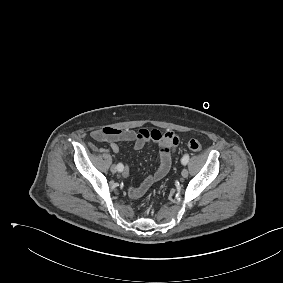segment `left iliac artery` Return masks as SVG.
<instances>
[{
  "label": "left iliac artery",
  "mask_w": 283,
  "mask_h": 283,
  "mask_svg": "<svg viewBox=\"0 0 283 283\" xmlns=\"http://www.w3.org/2000/svg\"><path fill=\"white\" fill-rule=\"evenodd\" d=\"M188 161H189V156L188 155L183 156V158L181 159V163L183 165H186L188 163Z\"/></svg>",
  "instance_id": "1"
}]
</instances>
